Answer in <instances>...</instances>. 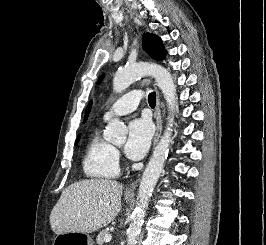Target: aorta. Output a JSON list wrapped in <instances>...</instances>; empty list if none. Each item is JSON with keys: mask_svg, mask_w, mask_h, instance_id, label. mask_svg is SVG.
Segmentation results:
<instances>
[{"mask_svg": "<svg viewBox=\"0 0 266 245\" xmlns=\"http://www.w3.org/2000/svg\"><path fill=\"white\" fill-rule=\"evenodd\" d=\"M143 74L154 76L157 86L161 88L168 106L169 120L163 137L157 143V147H155L153 155L142 175L137 197V207L132 213L131 223L129 229H127V245H137L138 235H140L141 227L144 223L150 197H152L153 189H155L156 183L163 171L164 161L168 157L174 112L176 110V84H174L171 72L164 68V66H161V64H150V66L129 64V66H125L122 70H117L113 78V90L115 92L125 90L132 82H135L136 78L143 76ZM126 135L127 129L124 123H121L119 118H112L107 125L104 139L110 141L113 145H124L127 139Z\"/></svg>", "mask_w": 266, "mask_h": 245, "instance_id": "1", "label": "aorta"}]
</instances>
